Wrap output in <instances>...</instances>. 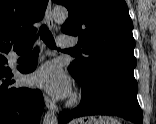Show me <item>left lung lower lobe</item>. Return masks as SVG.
Listing matches in <instances>:
<instances>
[{
    "label": "left lung lower lobe",
    "instance_id": "0a47b994",
    "mask_svg": "<svg viewBox=\"0 0 156 124\" xmlns=\"http://www.w3.org/2000/svg\"><path fill=\"white\" fill-rule=\"evenodd\" d=\"M82 99L72 111L59 114V124L90 115H115L135 124L143 123L142 110L137 100L138 84L119 74L101 75L81 86Z\"/></svg>",
    "mask_w": 156,
    "mask_h": 124
}]
</instances>
